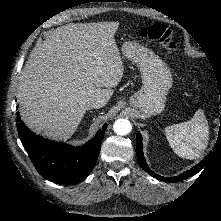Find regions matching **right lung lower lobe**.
<instances>
[{
	"label": "right lung lower lobe",
	"instance_id": "obj_1",
	"mask_svg": "<svg viewBox=\"0 0 221 221\" xmlns=\"http://www.w3.org/2000/svg\"><path fill=\"white\" fill-rule=\"evenodd\" d=\"M19 137L36 170L45 179L61 184L82 182L95 166L107 125L83 146L50 141L28 129L17 113Z\"/></svg>",
	"mask_w": 221,
	"mask_h": 221
}]
</instances>
